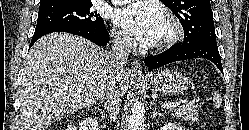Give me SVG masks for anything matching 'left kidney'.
<instances>
[{
  "instance_id": "left-kidney-1",
  "label": "left kidney",
  "mask_w": 249,
  "mask_h": 130,
  "mask_svg": "<svg viewBox=\"0 0 249 130\" xmlns=\"http://www.w3.org/2000/svg\"><path fill=\"white\" fill-rule=\"evenodd\" d=\"M161 130H182L180 126H176L173 123H167L162 126Z\"/></svg>"
}]
</instances>
